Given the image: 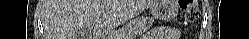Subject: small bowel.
Wrapping results in <instances>:
<instances>
[{"instance_id": "c3829d8e", "label": "small bowel", "mask_w": 249, "mask_h": 39, "mask_svg": "<svg viewBox=\"0 0 249 39\" xmlns=\"http://www.w3.org/2000/svg\"><path fill=\"white\" fill-rule=\"evenodd\" d=\"M177 31L176 28L159 27L152 29L145 35V39H168Z\"/></svg>"}]
</instances>
